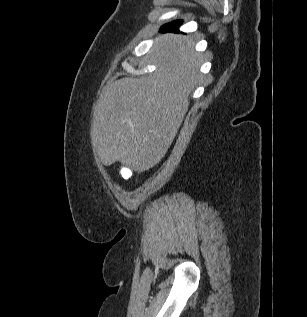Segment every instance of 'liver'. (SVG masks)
I'll list each match as a JSON object with an SVG mask.
<instances>
[{
    "label": "liver",
    "mask_w": 307,
    "mask_h": 317,
    "mask_svg": "<svg viewBox=\"0 0 307 317\" xmlns=\"http://www.w3.org/2000/svg\"><path fill=\"white\" fill-rule=\"evenodd\" d=\"M194 45L186 36H161L150 51L157 67L152 75L106 85L91 130L103 165L119 161L143 172L161 161L201 78V57Z\"/></svg>",
    "instance_id": "1"
}]
</instances>
